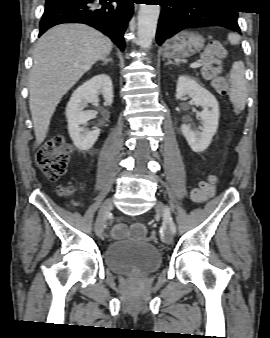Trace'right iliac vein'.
I'll return each mask as SVG.
<instances>
[{"label": "right iliac vein", "instance_id": "63e3f726", "mask_svg": "<svg viewBox=\"0 0 270 338\" xmlns=\"http://www.w3.org/2000/svg\"><path fill=\"white\" fill-rule=\"evenodd\" d=\"M112 208H113V204H112V200L111 199L106 200L102 204V206H101V208L99 210L96 222H95V232H96L97 235H101V233L103 231V227H104L105 221H106V219L108 217V214L112 210Z\"/></svg>", "mask_w": 270, "mask_h": 338}]
</instances>
